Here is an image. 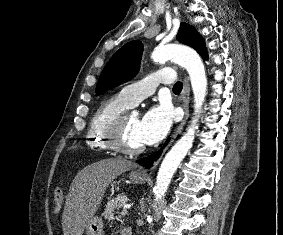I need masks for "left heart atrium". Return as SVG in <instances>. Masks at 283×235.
Returning a JSON list of instances; mask_svg holds the SVG:
<instances>
[{
    "instance_id": "left-heart-atrium-1",
    "label": "left heart atrium",
    "mask_w": 283,
    "mask_h": 235,
    "mask_svg": "<svg viewBox=\"0 0 283 235\" xmlns=\"http://www.w3.org/2000/svg\"><path fill=\"white\" fill-rule=\"evenodd\" d=\"M172 124V110L161 103L152 107L139 120L138 133L143 144H155L165 137Z\"/></svg>"
}]
</instances>
